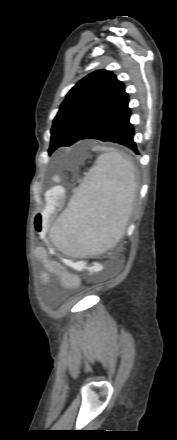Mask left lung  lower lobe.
<instances>
[{
  "label": "left lung lower lobe",
  "mask_w": 177,
  "mask_h": 440,
  "mask_svg": "<svg viewBox=\"0 0 177 440\" xmlns=\"http://www.w3.org/2000/svg\"><path fill=\"white\" fill-rule=\"evenodd\" d=\"M130 114L131 112L127 105L106 122H103L86 134L82 139H98L118 143L127 146L136 154H139L136 143L133 140L134 128L129 121Z\"/></svg>",
  "instance_id": "1"
}]
</instances>
